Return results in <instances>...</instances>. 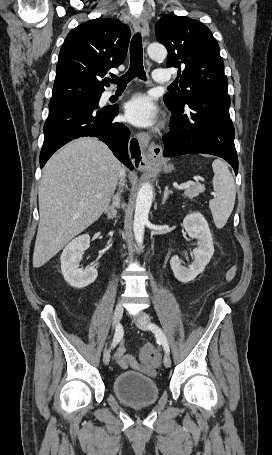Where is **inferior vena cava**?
<instances>
[{"instance_id":"1","label":"inferior vena cava","mask_w":272,"mask_h":455,"mask_svg":"<svg viewBox=\"0 0 272 455\" xmlns=\"http://www.w3.org/2000/svg\"><path fill=\"white\" fill-rule=\"evenodd\" d=\"M124 176H125V171L124 169L122 168L121 169V173H120V185L122 186L124 184Z\"/></svg>"}]
</instances>
